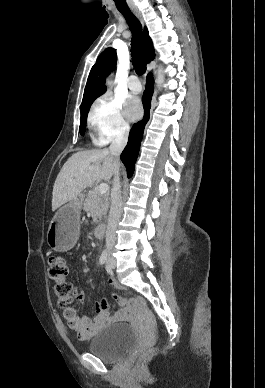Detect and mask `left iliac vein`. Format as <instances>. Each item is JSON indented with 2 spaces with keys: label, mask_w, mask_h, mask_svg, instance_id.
I'll return each mask as SVG.
<instances>
[{
  "label": "left iliac vein",
  "mask_w": 265,
  "mask_h": 388,
  "mask_svg": "<svg viewBox=\"0 0 265 388\" xmlns=\"http://www.w3.org/2000/svg\"><path fill=\"white\" fill-rule=\"evenodd\" d=\"M107 267L114 268L115 267V261L113 259H110L109 263L107 264Z\"/></svg>",
  "instance_id": "1"
}]
</instances>
